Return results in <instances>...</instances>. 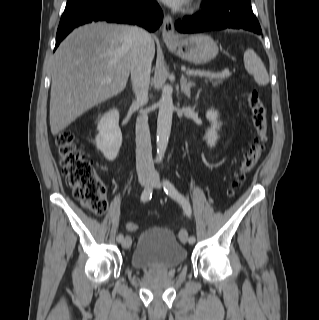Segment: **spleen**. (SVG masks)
<instances>
[{
  "mask_svg": "<svg viewBox=\"0 0 319 320\" xmlns=\"http://www.w3.org/2000/svg\"><path fill=\"white\" fill-rule=\"evenodd\" d=\"M245 69L253 75L255 82L258 85L265 86L269 83V76L266 68L258 55L252 49H247L244 52Z\"/></svg>",
  "mask_w": 319,
  "mask_h": 320,
  "instance_id": "spleen-1",
  "label": "spleen"
}]
</instances>
